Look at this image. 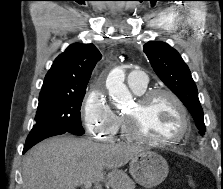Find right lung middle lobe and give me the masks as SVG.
<instances>
[{
  "label": "right lung middle lobe",
  "mask_w": 223,
  "mask_h": 189,
  "mask_svg": "<svg viewBox=\"0 0 223 189\" xmlns=\"http://www.w3.org/2000/svg\"><path fill=\"white\" fill-rule=\"evenodd\" d=\"M86 88L77 91L44 93L39 95L35 129H62L83 135L80 109Z\"/></svg>",
  "instance_id": "obj_1"
}]
</instances>
